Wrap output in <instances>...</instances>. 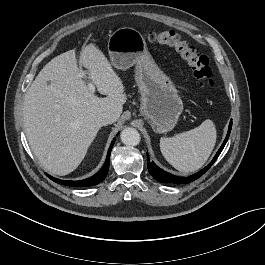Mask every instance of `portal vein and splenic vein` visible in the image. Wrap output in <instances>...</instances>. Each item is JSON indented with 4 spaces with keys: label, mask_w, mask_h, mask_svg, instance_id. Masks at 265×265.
Listing matches in <instances>:
<instances>
[{
    "label": "portal vein and splenic vein",
    "mask_w": 265,
    "mask_h": 265,
    "mask_svg": "<svg viewBox=\"0 0 265 265\" xmlns=\"http://www.w3.org/2000/svg\"><path fill=\"white\" fill-rule=\"evenodd\" d=\"M82 76L84 75V72L80 73ZM88 87L92 93L95 92V85L92 82H88Z\"/></svg>",
    "instance_id": "18ae733b"
}]
</instances>
